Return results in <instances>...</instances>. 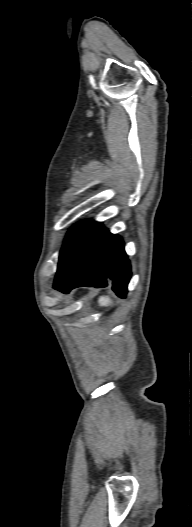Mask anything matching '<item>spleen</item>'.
I'll return each instance as SVG.
<instances>
[{
  "instance_id": "1",
  "label": "spleen",
  "mask_w": 192,
  "mask_h": 527,
  "mask_svg": "<svg viewBox=\"0 0 192 527\" xmlns=\"http://www.w3.org/2000/svg\"><path fill=\"white\" fill-rule=\"evenodd\" d=\"M98 303L101 306H108L111 303V300L106 296H102L99 298Z\"/></svg>"
}]
</instances>
